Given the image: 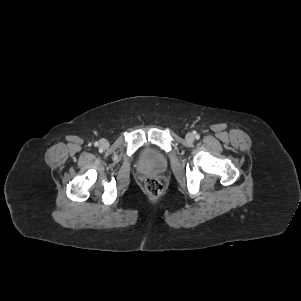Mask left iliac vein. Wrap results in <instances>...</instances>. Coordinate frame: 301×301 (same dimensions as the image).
I'll return each mask as SVG.
<instances>
[{"label":"left iliac vein","mask_w":301,"mask_h":301,"mask_svg":"<svg viewBox=\"0 0 301 301\" xmlns=\"http://www.w3.org/2000/svg\"><path fill=\"white\" fill-rule=\"evenodd\" d=\"M194 135L192 133H187L186 136H185V139L188 141V142H193L194 141Z\"/></svg>","instance_id":"obj_1"}]
</instances>
